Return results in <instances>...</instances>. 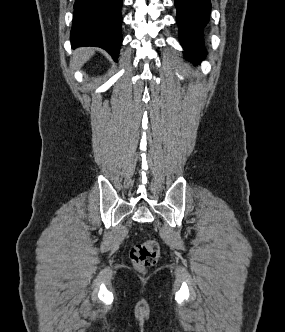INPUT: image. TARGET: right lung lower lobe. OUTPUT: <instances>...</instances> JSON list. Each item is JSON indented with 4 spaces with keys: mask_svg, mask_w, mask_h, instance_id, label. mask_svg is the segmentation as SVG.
<instances>
[{
    "mask_svg": "<svg viewBox=\"0 0 285 332\" xmlns=\"http://www.w3.org/2000/svg\"><path fill=\"white\" fill-rule=\"evenodd\" d=\"M122 0H75L72 47L96 46L115 60L122 44Z\"/></svg>",
    "mask_w": 285,
    "mask_h": 332,
    "instance_id": "right-lung-lower-lobe-1",
    "label": "right lung lower lobe"
}]
</instances>
